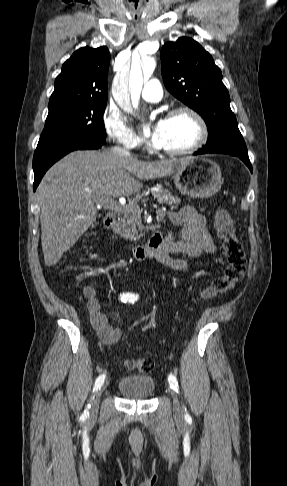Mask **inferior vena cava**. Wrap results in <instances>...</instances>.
Returning a JSON list of instances; mask_svg holds the SVG:
<instances>
[{
  "instance_id": "inferior-vena-cava-1",
  "label": "inferior vena cava",
  "mask_w": 287,
  "mask_h": 486,
  "mask_svg": "<svg viewBox=\"0 0 287 486\" xmlns=\"http://www.w3.org/2000/svg\"><path fill=\"white\" fill-rule=\"evenodd\" d=\"M114 153H117L119 155H121L122 157H130V152H129V149L128 148H121L119 146H116L114 148L111 149Z\"/></svg>"
}]
</instances>
